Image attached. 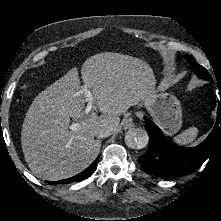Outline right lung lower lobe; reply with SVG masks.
Instances as JSON below:
<instances>
[{"instance_id": "right-lung-lower-lobe-1", "label": "right lung lower lobe", "mask_w": 221, "mask_h": 221, "mask_svg": "<svg viewBox=\"0 0 221 221\" xmlns=\"http://www.w3.org/2000/svg\"><path fill=\"white\" fill-rule=\"evenodd\" d=\"M98 160H99V158H97L87 169H85L81 173H79V174H77V175H75L71 178H67V179L60 180V181H54V182H51V183H53V184H68V183L82 181V180L90 177L93 174V172L97 168Z\"/></svg>"}]
</instances>
